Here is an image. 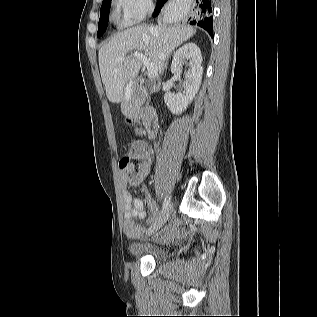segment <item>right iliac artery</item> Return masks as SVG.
Here are the masks:
<instances>
[{"label": "right iliac artery", "instance_id": "82829eb1", "mask_svg": "<svg viewBox=\"0 0 317 317\" xmlns=\"http://www.w3.org/2000/svg\"><path fill=\"white\" fill-rule=\"evenodd\" d=\"M169 203H170V197L166 196L165 199H164V202H163V207H162V211L160 213V217L161 215L164 214V212L167 210L168 206H169ZM158 218V217H157Z\"/></svg>", "mask_w": 317, "mask_h": 317}]
</instances>
